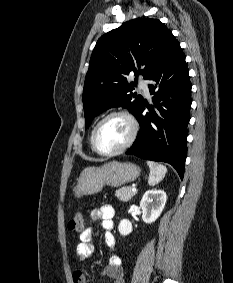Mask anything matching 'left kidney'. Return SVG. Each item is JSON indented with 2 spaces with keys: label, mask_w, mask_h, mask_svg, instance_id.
<instances>
[{
  "label": "left kidney",
  "mask_w": 233,
  "mask_h": 283,
  "mask_svg": "<svg viewBox=\"0 0 233 283\" xmlns=\"http://www.w3.org/2000/svg\"><path fill=\"white\" fill-rule=\"evenodd\" d=\"M166 199L167 196L163 190L145 192L140 202L142 220L147 224L153 223L162 213ZM118 229L121 235H128L132 231V224L129 220L124 219L120 222Z\"/></svg>",
  "instance_id": "obj_1"
}]
</instances>
